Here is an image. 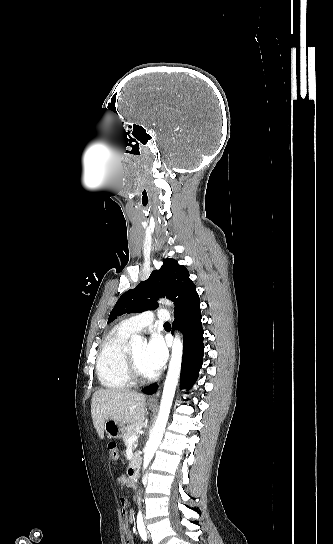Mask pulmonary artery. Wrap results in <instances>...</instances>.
Instances as JSON below:
<instances>
[{
    "mask_svg": "<svg viewBox=\"0 0 333 544\" xmlns=\"http://www.w3.org/2000/svg\"><path fill=\"white\" fill-rule=\"evenodd\" d=\"M157 318L159 321H166L170 319V314L165 309H160L157 312ZM154 320V314L151 311H146L141 314L132 316L122 322L124 328L132 333L139 332L150 327Z\"/></svg>",
    "mask_w": 333,
    "mask_h": 544,
    "instance_id": "obj_1",
    "label": "pulmonary artery"
}]
</instances>
